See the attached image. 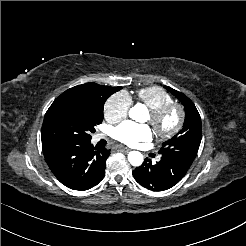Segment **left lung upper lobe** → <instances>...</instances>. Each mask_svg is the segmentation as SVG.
I'll use <instances>...</instances> for the list:
<instances>
[{
    "instance_id": "left-lung-upper-lobe-1",
    "label": "left lung upper lobe",
    "mask_w": 246,
    "mask_h": 246,
    "mask_svg": "<svg viewBox=\"0 0 246 246\" xmlns=\"http://www.w3.org/2000/svg\"><path fill=\"white\" fill-rule=\"evenodd\" d=\"M185 108L183 128L170 140L164 142L159 154L189 169L193 163L202 138L201 118L193 102L183 93L165 86Z\"/></svg>"
}]
</instances>
